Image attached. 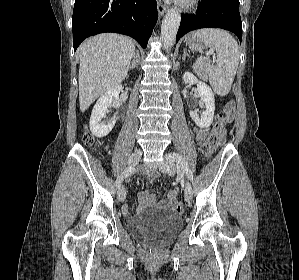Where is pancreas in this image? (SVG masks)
Wrapping results in <instances>:
<instances>
[{
  "mask_svg": "<svg viewBox=\"0 0 299 280\" xmlns=\"http://www.w3.org/2000/svg\"><path fill=\"white\" fill-rule=\"evenodd\" d=\"M194 68L199 77H201L204 80H207L206 71L201 63L195 64Z\"/></svg>",
  "mask_w": 299,
  "mask_h": 280,
  "instance_id": "pancreas-1",
  "label": "pancreas"
}]
</instances>
